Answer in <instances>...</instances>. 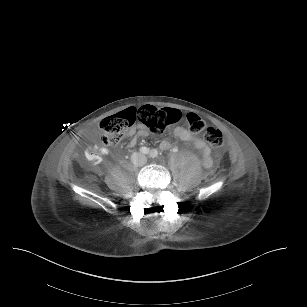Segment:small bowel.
Instances as JSON below:
<instances>
[{"instance_id": "obj_1", "label": "small bowel", "mask_w": 307, "mask_h": 307, "mask_svg": "<svg viewBox=\"0 0 307 307\" xmlns=\"http://www.w3.org/2000/svg\"><path fill=\"white\" fill-rule=\"evenodd\" d=\"M173 133L174 136L179 140L191 143L197 149H199L201 151V155L205 166L207 167L211 166V149L199 135L192 133L191 131L182 127L175 128ZM147 134L148 132L144 127L131 129L129 131V135H134V138L129 143V147L133 146L136 143L137 138L145 137L147 136ZM169 147L170 143L168 141L164 140L160 144V148L162 150H167ZM107 153L108 149L104 146H99V145L88 146L84 152L86 159L93 164H99L102 161V157Z\"/></svg>"}]
</instances>
